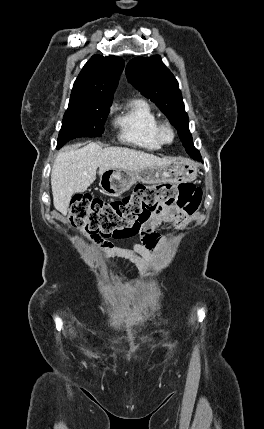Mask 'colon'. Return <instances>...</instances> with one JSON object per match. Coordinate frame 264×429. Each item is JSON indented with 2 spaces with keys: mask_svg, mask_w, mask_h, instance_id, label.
I'll use <instances>...</instances> for the list:
<instances>
[{
  "mask_svg": "<svg viewBox=\"0 0 264 429\" xmlns=\"http://www.w3.org/2000/svg\"><path fill=\"white\" fill-rule=\"evenodd\" d=\"M202 190L191 183L137 185L121 199L104 201L90 195H76L71 202L69 223L92 238L126 237L137 233L153 215L177 208L194 214L201 203Z\"/></svg>",
  "mask_w": 264,
  "mask_h": 429,
  "instance_id": "1",
  "label": "colon"
}]
</instances>
